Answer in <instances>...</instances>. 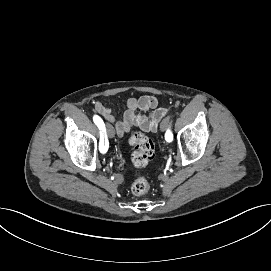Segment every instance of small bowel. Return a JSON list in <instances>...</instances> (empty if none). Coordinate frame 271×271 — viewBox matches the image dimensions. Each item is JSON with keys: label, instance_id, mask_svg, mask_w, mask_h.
I'll return each mask as SVG.
<instances>
[{"label": "small bowel", "instance_id": "c3829d8e", "mask_svg": "<svg viewBox=\"0 0 271 271\" xmlns=\"http://www.w3.org/2000/svg\"><path fill=\"white\" fill-rule=\"evenodd\" d=\"M94 110L119 135L128 132L131 127H138L146 132H155L159 121L168 113L157 98L149 95L129 98L125 102V111L120 119L115 117L109 107L100 102L94 104Z\"/></svg>", "mask_w": 271, "mask_h": 271}]
</instances>
